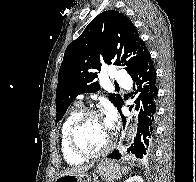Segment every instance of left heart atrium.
<instances>
[{
	"label": "left heart atrium",
	"mask_w": 196,
	"mask_h": 182,
	"mask_svg": "<svg viewBox=\"0 0 196 182\" xmlns=\"http://www.w3.org/2000/svg\"><path fill=\"white\" fill-rule=\"evenodd\" d=\"M107 128L111 131L114 126L115 116L112 112H108L104 119Z\"/></svg>",
	"instance_id": "left-heart-atrium-1"
}]
</instances>
